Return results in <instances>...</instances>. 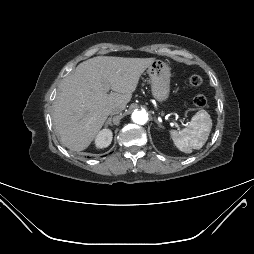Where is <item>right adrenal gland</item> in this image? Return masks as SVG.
I'll list each match as a JSON object with an SVG mask.
<instances>
[{
	"label": "right adrenal gland",
	"instance_id": "obj_1",
	"mask_svg": "<svg viewBox=\"0 0 254 254\" xmlns=\"http://www.w3.org/2000/svg\"><path fill=\"white\" fill-rule=\"evenodd\" d=\"M111 120H112V117L108 118L107 122L105 123V126H107L108 124L111 125Z\"/></svg>",
	"mask_w": 254,
	"mask_h": 254
}]
</instances>
